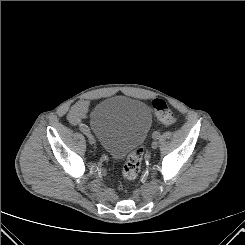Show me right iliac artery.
Returning <instances> with one entry per match:
<instances>
[{
  "label": "right iliac artery",
  "instance_id": "82829eb1",
  "mask_svg": "<svg viewBox=\"0 0 245 245\" xmlns=\"http://www.w3.org/2000/svg\"><path fill=\"white\" fill-rule=\"evenodd\" d=\"M79 129H80L84 134L89 133V129H88L86 126H84V125L80 126Z\"/></svg>",
  "mask_w": 245,
  "mask_h": 245
}]
</instances>
